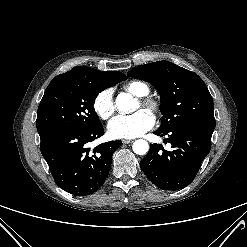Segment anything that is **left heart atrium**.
I'll return each instance as SVG.
<instances>
[{
    "mask_svg": "<svg viewBox=\"0 0 247 247\" xmlns=\"http://www.w3.org/2000/svg\"><path fill=\"white\" fill-rule=\"evenodd\" d=\"M155 123L154 116L141 109L132 115H119L108 125V133L115 139H131L150 130Z\"/></svg>",
    "mask_w": 247,
    "mask_h": 247,
    "instance_id": "left-heart-atrium-1",
    "label": "left heart atrium"
}]
</instances>
